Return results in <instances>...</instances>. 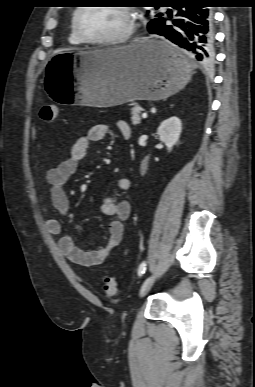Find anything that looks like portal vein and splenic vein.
I'll return each mask as SVG.
<instances>
[{"label": "portal vein and splenic vein", "instance_id": "18ae733b", "mask_svg": "<svg viewBox=\"0 0 255 387\" xmlns=\"http://www.w3.org/2000/svg\"><path fill=\"white\" fill-rule=\"evenodd\" d=\"M142 118H144V119L147 118V113L144 112V113L142 114Z\"/></svg>", "mask_w": 255, "mask_h": 387}]
</instances>
